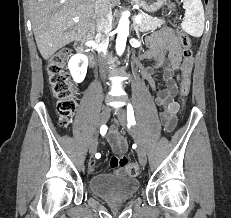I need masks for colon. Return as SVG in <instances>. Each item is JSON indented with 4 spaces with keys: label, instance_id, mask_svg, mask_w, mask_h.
Listing matches in <instances>:
<instances>
[{
    "label": "colon",
    "instance_id": "1",
    "mask_svg": "<svg viewBox=\"0 0 231 218\" xmlns=\"http://www.w3.org/2000/svg\"><path fill=\"white\" fill-rule=\"evenodd\" d=\"M178 22V18L175 19ZM178 40L186 58L192 56L191 40L187 33L181 28L177 29ZM70 50L63 48L52 55L46 63V74L52 96L57 102V113L60 123L67 127L76 108L75 87L70 80L66 62ZM180 93L185 100L190 93V78H185L180 84ZM121 166L129 176L135 177L140 174V166L136 162H129L127 159L120 161Z\"/></svg>",
    "mask_w": 231,
    "mask_h": 218
}]
</instances>
